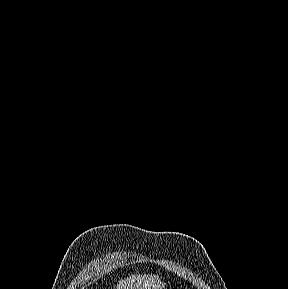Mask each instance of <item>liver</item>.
Listing matches in <instances>:
<instances>
[{
  "mask_svg": "<svg viewBox=\"0 0 288 289\" xmlns=\"http://www.w3.org/2000/svg\"><path fill=\"white\" fill-rule=\"evenodd\" d=\"M165 285L155 274L131 275L120 281L116 289H163Z\"/></svg>",
  "mask_w": 288,
  "mask_h": 289,
  "instance_id": "6515ba94",
  "label": "liver"
}]
</instances>
